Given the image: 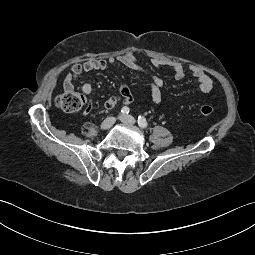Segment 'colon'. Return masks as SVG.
I'll return each instance as SVG.
<instances>
[{"label":"colon","mask_w":255,"mask_h":255,"mask_svg":"<svg viewBox=\"0 0 255 255\" xmlns=\"http://www.w3.org/2000/svg\"><path fill=\"white\" fill-rule=\"evenodd\" d=\"M56 105L65 112H76L88 106V100L72 85H69L56 97ZM199 113L203 116H211L214 113V108L211 105H202L199 108Z\"/></svg>","instance_id":"1"}]
</instances>
